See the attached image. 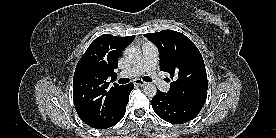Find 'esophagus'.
Masks as SVG:
<instances>
[{
  "instance_id": "34e87169",
  "label": "esophagus",
  "mask_w": 276,
  "mask_h": 138,
  "mask_svg": "<svg viewBox=\"0 0 276 138\" xmlns=\"http://www.w3.org/2000/svg\"><path fill=\"white\" fill-rule=\"evenodd\" d=\"M134 84L137 85V86H141L142 87V86L146 85V82H144V81H142L140 79H137V80L134 81Z\"/></svg>"
}]
</instances>
